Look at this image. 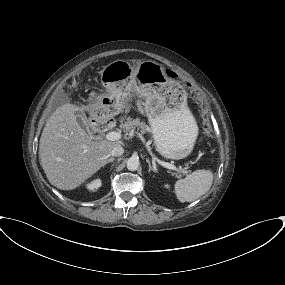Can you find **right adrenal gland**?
<instances>
[{
  "instance_id": "2a0ac1e0",
  "label": "right adrenal gland",
  "mask_w": 285,
  "mask_h": 285,
  "mask_svg": "<svg viewBox=\"0 0 285 285\" xmlns=\"http://www.w3.org/2000/svg\"><path fill=\"white\" fill-rule=\"evenodd\" d=\"M114 158H110V159H108V161H107V163H110V162H114Z\"/></svg>"
}]
</instances>
